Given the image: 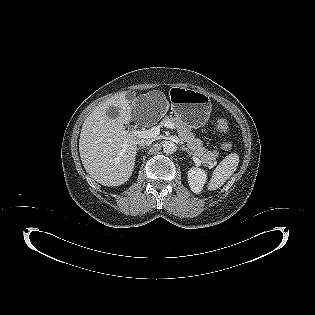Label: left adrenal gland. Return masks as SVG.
<instances>
[{
  "mask_svg": "<svg viewBox=\"0 0 315 315\" xmlns=\"http://www.w3.org/2000/svg\"><path fill=\"white\" fill-rule=\"evenodd\" d=\"M181 150L187 152L189 156L191 155L189 150L184 145L181 146Z\"/></svg>",
  "mask_w": 315,
  "mask_h": 315,
  "instance_id": "obj_1",
  "label": "left adrenal gland"
}]
</instances>
